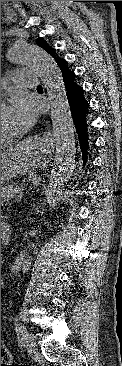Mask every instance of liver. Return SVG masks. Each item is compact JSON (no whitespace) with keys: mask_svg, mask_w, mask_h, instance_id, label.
<instances>
[{"mask_svg":"<svg viewBox=\"0 0 122 366\" xmlns=\"http://www.w3.org/2000/svg\"><path fill=\"white\" fill-rule=\"evenodd\" d=\"M7 153L1 151V158H5Z\"/></svg>","mask_w":122,"mask_h":366,"instance_id":"1","label":"liver"}]
</instances>
